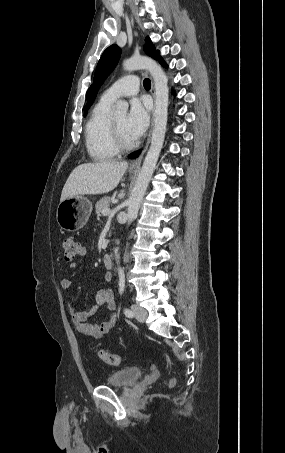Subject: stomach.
<instances>
[{"label":"stomach","instance_id":"stomach-1","mask_svg":"<svg viewBox=\"0 0 285 453\" xmlns=\"http://www.w3.org/2000/svg\"><path fill=\"white\" fill-rule=\"evenodd\" d=\"M131 173L134 171L130 170ZM92 212V203L83 196L66 198L58 204L56 220L65 231L74 232L81 229Z\"/></svg>","mask_w":285,"mask_h":453}]
</instances>
